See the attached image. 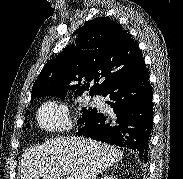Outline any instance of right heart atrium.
Returning a JSON list of instances; mask_svg holds the SVG:
<instances>
[{
	"instance_id": "right-heart-atrium-1",
	"label": "right heart atrium",
	"mask_w": 183,
	"mask_h": 179,
	"mask_svg": "<svg viewBox=\"0 0 183 179\" xmlns=\"http://www.w3.org/2000/svg\"><path fill=\"white\" fill-rule=\"evenodd\" d=\"M39 124L49 131H63L70 125L68 109L64 104L49 102L38 113Z\"/></svg>"
}]
</instances>
